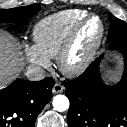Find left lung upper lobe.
I'll use <instances>...</instances> for the list:
<instances>
[{
	"label": "left lung upper lobe",
	"instance_id": "obj_1",
	"mask_svg": "<svg viewBox=\"0 0 127 127\" xmlns=\"http://www.w3.org/2000/svg\"><path fill=\"white\" fill-rule=\"evenodd\" d=\"M108 16L110 20L108 40L115 43L127 39V23L116 18L111 13Z\"/></svg>",
	"mask_w": 127,
	"mask_h": 127
}]
</instances>
